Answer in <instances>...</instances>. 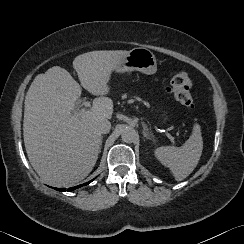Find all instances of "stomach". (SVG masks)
Listing matches in <instances>:
<instances>
[{"instance_id": "obj_1", "label": "stomach", "mask_w": 244, "mask_h": 244, "mask_svg": "<svg viewBox=\"0 0 244 244\" xmlns=\"http://www.w3.org/2000/svg\"><path fill=\"white\" fill-rule=\"evenodd\" d=\"M139 71L145 74H154L157 71V60L152 51L144 47H137L128 51L127 55L115 68L118 73ZM160 116L163 122L166 115L162 110Z\"/></svg>"}]
</instances>
